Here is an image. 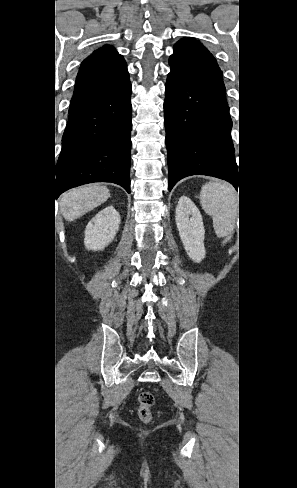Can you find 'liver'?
I'll return each instance as SVG.
<instances>
[{
  "label": "liver",
  "mask_w": 297,
  "mask_h": 488,
  "mask_svg": "<svg viewBox=\"0 0 297 488\" xmlns=\"http://www.w3.org/2000/svg\"><path fill=\"white\" fill-rule=\"evenodd\" d=\"M109 197V189L98 184L70 190L61 197V214L67 221L71 222L101 205Z\"/></svg>",
  "instance_id": "liver-1"
}]
</instances>
